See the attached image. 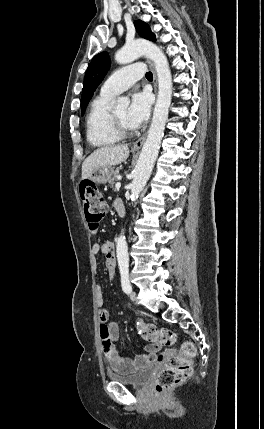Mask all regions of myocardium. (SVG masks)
<instances>
[{"label":"myocardium","instance_id":"myocardium-1","mask_svg":"<svg viewBox=\"0 0 264 429\" xmlns=\"http://www.w3.org/2000/svg\"><path fill=\"white\" fill-rule=\"evenodd\" d=\"M111 124L114 132L120 138H127L134 134V130L126 127L115 115L114 112L110 113Z\"/></svg>","mask_w":264,"mask_h":429}]
</instances>
